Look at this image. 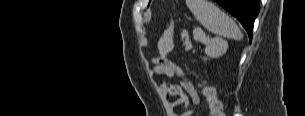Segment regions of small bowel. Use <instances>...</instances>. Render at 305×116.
I'll use <instances>...</instances> for the list:
<instances>
[{
    "label": "small bowel",
    "instance_id": "obj_1",
    "mask_svg": "<svg viewBox=\"0 0 305 116\" xmlns=\"http://www.w3.org/2000/svg\"><path fill=\"white\" fill-rule=\"evenodd\" d=\"M173 49V40L166 38L159 43V51L161 57L157 60L155 66L156 73L166 74L170 77L178 74L179 69L168 59L165 58L167 54ZM161 88L167 94L176 97L171 104L172 107L183 106L185 111L182 116H193L194 110L189 108V103L192 101L198 105L200 103V95L198 90L190 82H183L181 86L174 84H161Z\"/></svg>",
    "mask_w": 305,
    "mask_h": 116
}]
</instances>
